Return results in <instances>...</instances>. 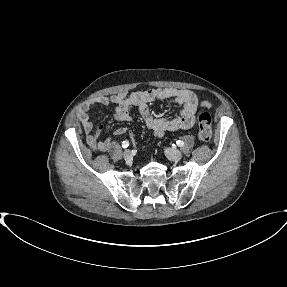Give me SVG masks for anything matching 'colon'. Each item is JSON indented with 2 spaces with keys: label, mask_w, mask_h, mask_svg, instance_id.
I'll use <instances>...</instances> for the list:
<instances>
[{
  "label": "colon",
  "mask_w": 287,
  "mask_h": 287,
  "mask_svg": "<svg viewBox=\"0 0 287 287\" xmlns=\"http://www.w3.org/2000/svg\"><path fill=\"white\" fill-rule=\"evenodd\" d=\"M212 119L211 115L205 109L200 110L198 115V136L203 142H209L212 137Z\"/></svg>",
  "instance_id": "1"
}]
</instances>
